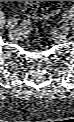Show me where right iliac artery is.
<instances>
[{
    "label": "right iliac artery",
    "instance_id": "1",
    "mask_svg": "<svg viewBox=\"0 0 74 122\" xmlns=\"http://www.w3.org/2000/svg\"><path fill=\"white\" fill-rule=\"evenodd\" d=\"M9 24H11V26H14V24H16V23H14V22H9Z\"/></svg>",
    "mask_w": 74,
    "mask_h": 122
}]
</instances>
